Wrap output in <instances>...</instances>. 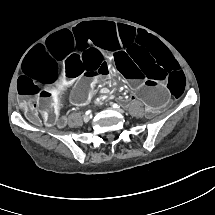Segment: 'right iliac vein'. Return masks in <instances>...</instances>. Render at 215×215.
<instances>
[{
  "mask_svg": "<svg viewBox=\"0 0 215 215\" xmlns=\"http://www.w3.org/2000/svg\"><path fill=\"white\" fill-rule=\"evenodd\" d=\"M83 119H84L85 122H87V121H89V116H84Z\"/></svg>",
  "mask_w": 215,
  "mask_h": 215,
  "instance_id": "63e3f726",
  "label": "right iliac vein"
}]
</instances>
